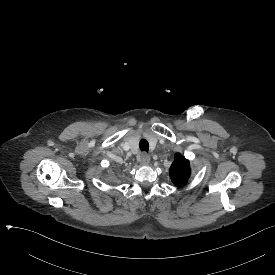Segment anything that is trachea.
Masks as SVG:
<instances>
[{
  "mask_svg": "<svg viewBox=\"0 0 275 275\" xmlns=\"http://www.w3.org/2000/svg\"><path fill=\"white\" fill-rule=\"evenodd\" d=\"M139 148H140L141 152L148 153V151H149V143H148V141L145 140V139H141L140 142H139Z\"/></svg>",
  "mask_w": 275,
  "mask_h": 275,
  "instance_id": "1",
  "label": "trachea"
}]
</instances>
